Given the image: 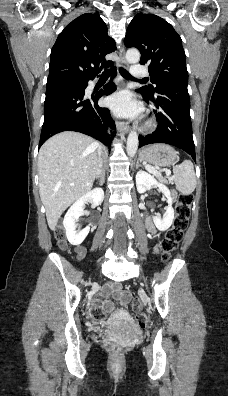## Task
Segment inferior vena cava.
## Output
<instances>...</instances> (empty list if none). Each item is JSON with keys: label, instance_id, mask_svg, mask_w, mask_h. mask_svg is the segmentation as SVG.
Here are the masks:
<instances>
[{"label": "inferior vena cava", "instance_id": "1", "mask_svg": "<svg viewBox=\"0 0 228 396\" xmlns=\"http://www.w3.org/2000/svg\"><path fill=\"white\" fill-rule=\"evenodd\" d=\"M102 150H103V147H101V146H99V156H101V153H102ZM102 159H101V157H100V164H99V168H98V171H97V176H100L101 174H102Z\"/></svg>", "mask_w": 228, "mask_h": 396}]
</instances>
